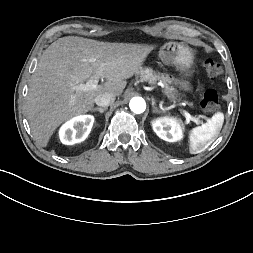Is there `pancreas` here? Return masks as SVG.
<instances>
[{
    "instance_id": "1",
    "label": "pancreas",
    "mask_w": 253,
    "mask_h": 253,
    "mask_svg": "<svg viewBox=\"0 0 253 253\" xmlns=\"http://www.w3.org/2000/svg\"><path fill=\"white\" fill-rule=\"evenodd\" d=\"M138 74L142 81H146L150 85L161 82L163 84L164 94L173 102L179 101L177 90L173 86H170L174 79L168 74L154 71L152 68H141Z\"/></svg>"
}]
</instances>
